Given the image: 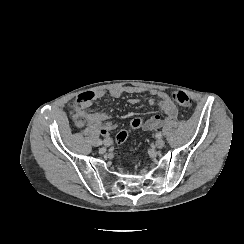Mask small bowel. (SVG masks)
<instances>
[{"mask_svg":"<svg viewBox=\"0 0 244 244\" xmlns=\"http://www.w3.org/2000/svg\"><path fill=\"white\" fill-rule=\"evenodd\" d=\"M136 93H146L157 99L159 108L165 114V118L159 115L152 116L148 118L149 123L143 126L142 129L152 131L160 128L166 121L175 119L180 116L181 112L178 107L171 101L169 95L159 89H142L137 87H117L112 88L108 91L110 97L118 98L124 94H136ZM105 94L104 91H97L93 93L94 98H101ZM154 98H149L146 102L149 105H154L156 100ZM131 103L135 104L138 102L136 99H131ZM90 103L73 104L72 106H77L83 109L85 115L88 119V126L90 128H99L100 132L103 134H109L116 129V125L110 120L109 114L103 111H89Z\"/></svg>","mask_w":244,"mask_h":244,"instance_id":"1","label":"small bowel"}]
</instances>
